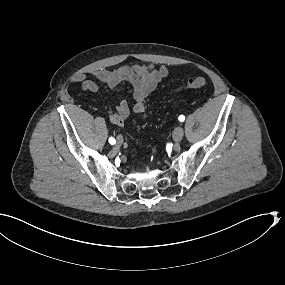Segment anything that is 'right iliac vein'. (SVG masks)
<instances>
[{
  "label": "right iliac vein",
  "instance_id": "1",
  "mask_svg": "<svg viewBox=\"0 0 285 285\" xmlns=\"http://www.w3.org/2000/svg\"><path fill=\"white\" fill-rule=\"evenodd\" d=\"M122 144H123V138L121 136H117L116 145L117 146H121Z\"/></svg>",
  "mask_w": 285,
  "mask_h": 285
}]
</instances>
